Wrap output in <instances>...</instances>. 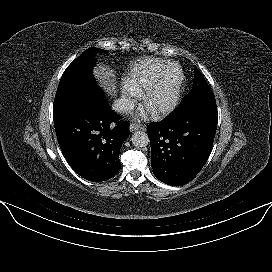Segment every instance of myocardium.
Masks as SVG:
<instances>
[{"label": "myocardium", "instance_id": "1", "mask_svg": "<svg viewBox=\"0 0 272 272\" xmlns=\"http://www.w3.org/2000/svg\"><path fill=\"white\" fill-rule=\"evenodd\" d=\"M172 68H176L179 72L178 79L175 83L174 91H173V96L171 100L163 106L157 107V108H149V101L153 94L156 92V90L161 86L163 81L165 80L167 74ZM184 72L182 67L177 64V63H169L158 75V77L144 90L142 94V102L143 104L155 115V116H163L166 115L170 112H172L178 105L180 98H181V93L183 89V84H184Z\"/></svg>", "mask_w": 272, "mask_h": 272}]
</instances>
